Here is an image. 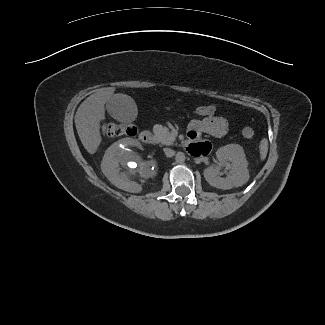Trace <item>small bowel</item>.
<instances>
[{
	"label": "small bowel",
	"mask_w": 325,
	"mask_h": 325,
	"mask_svg": "<svg viewBox=\"0 0 325 325\" xmlns=\"http://www.w3.org/2000/svg\"><path fill=\"white\" fill-rule=\"evenodd\" d=\"M227 132V121L221 116L200 117L189 124L188 136L191 141L187 145L188 153L193 157L207 155L211 150L209 140L199 137L202 133L214 138H222Z\"/></svg>",
	"instance_id": "c3829d8e"
}]
</instances>
